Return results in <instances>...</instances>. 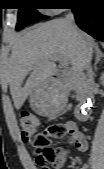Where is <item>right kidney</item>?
I'll return each instance as SVG.
<instances>
[{"label":"right kidney","mask_w":104,"mask_h":169,"mask_svg":"<svg viewBox=\"0 0 104 169\" xmlns=\"http://www.w3.org/2000/svg\"><path fill=\"white\" fill-rule=\"evenodd\" d=\"M104 74L101 75L100 80L103 81Z\"/></svg>","instance_id":"ca27d5eb"}]
</instances>
